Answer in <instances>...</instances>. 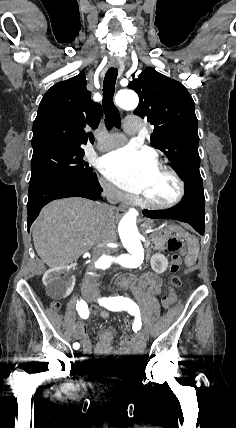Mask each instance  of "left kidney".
Returning <instances> with one entry per match:
<instances>
[{"label":"left kidney","mask_w":236,"mask_h":428,"mask_svg":"<svg viewBox=\"0 0 236 428\" xmlns=\"http://www.w3.org/2000/svg\"><path fill=\"white\" fill-rule=\"evenodd\" d=\"M150 264L156 274H163L168 268V260L163 254H154L150 260Z\"/></svg>","instance_id":"obj_1"}]
</instances>
